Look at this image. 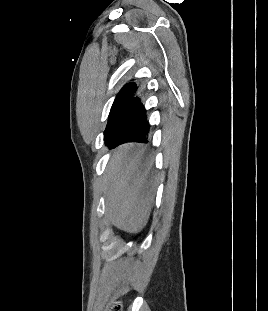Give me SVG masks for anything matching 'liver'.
Wrapping results in <instances>:
<instances>
[{
	"mask_svg": "<svg viewBox=\"0 0 268 311\" xmlns=\"http://www.w3.org/2000/svg\"><path fill=\"white\" fill-rule=\"evenodd\" d=\"M151 167L140 145L124 144L115 150L106 169L104 191L116 228L138 233L146 226L155 192Z\"/></svg>",
	"mask_w": 268,
	"mask_h": 311,
	"instance_id": "1",
	"label": "liver"
}]
</instances>
